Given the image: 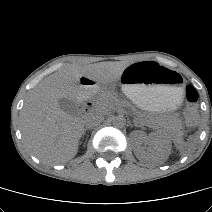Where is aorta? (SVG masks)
Here are the masks:
<instances>
[{
  "label": "aorta",
  "mask_w": 212,
  "mask_h": 212,
  "mask_svg": "<svg viewBox=\"0 0 212 212\" xmlns=\"http://www.w3.org/2000/svg\"><path fill=\"white\" fill-rule=\"evenodd\" d=\"M114 127L123 128L126 125V119L122 115L115 116L112 121Z\"/></svg>",
  "instance_id": "1"
}]
</instances>
